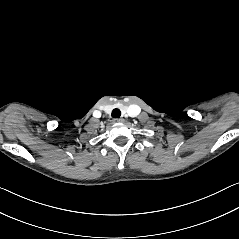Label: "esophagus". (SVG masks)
Instances as JSON below:
<instances>
[{
  "label": "esophagus",
  "instance_id": "esophagus-1",
  "mask_svg": "<svg viewBox=\"0 0 239 239\" xmlns=\"http://www.w3.org/2000/svg\"><path fill=\"white\" fill-rule=\"evenodd\" d=\"M114 122L122 123V122H124V118H116V119H114Z\"/></svg>",
  "mask_w": 239,
  "mask_h": 239
}]
</instances>
